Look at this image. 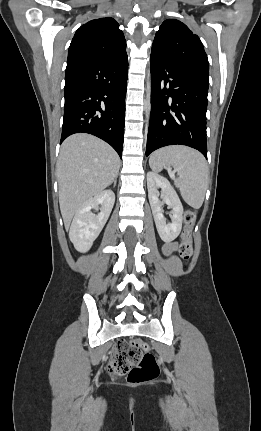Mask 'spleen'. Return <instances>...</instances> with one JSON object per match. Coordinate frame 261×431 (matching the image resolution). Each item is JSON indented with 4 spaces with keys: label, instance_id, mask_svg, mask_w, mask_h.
<instances>
[{
    "label": "spleen",
    "instance_id": "spleen-1",
    "mask_svg": "<svg viewBox=\"0 0 261 431\" xmlns=\"http://www.w3.org/2000/svg\"><path fill=\"white\" fill-rule=\"evenodd\" d=\"M155 172L173 167L179 175L175 185L184 201L193 208L203 204L208 181V166L204 157L188 147L171 146L155 151L149 159Z\"/></svg>",
    "mask_w": 261,
    "mask_h": 431
}]
</instances>
